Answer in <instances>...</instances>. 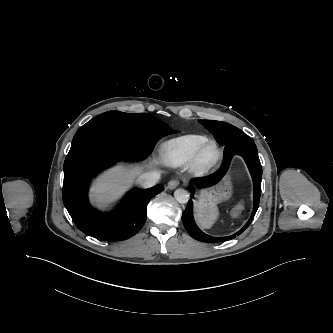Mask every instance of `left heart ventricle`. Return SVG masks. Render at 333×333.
<instances>
[{
  "label": "left heart ventricle",
  "mask_w": 333,
  "mask_h": 333,
  "mask_svg": "<svg viewBox=\"0 0 333 333\" xmlns=\"http://www.w3.org/2000/svg\"><path fill=\"white\" fill-rule=\"evenodd\" d=\"M216 155V152L213 148H209L206 150L205 154H204V158L206 161H210L212 160Z\"/></svg>",
  "instance_id": "obj_1"
}]
</instances>
